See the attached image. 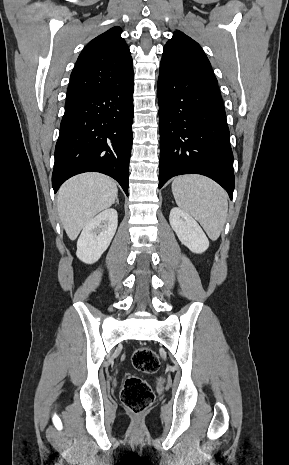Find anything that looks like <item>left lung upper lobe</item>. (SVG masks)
Segmentation results:
<instances>
[{"instance_id":"5c2ea615","label":"left lung upper lobe","mask_w":289,"mask_h":465,"mask_svg":"<svg viewBox=\"0 0 289 465\" xmlns=\"http://www.w3.org/2000/svg\"><path fill=\"white\" fill-rule=\"evenodd\" d=\"M160 73L217 82L211 64L200 45L178 30L164 47Z\"/></svg>"}]
</instances>
